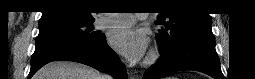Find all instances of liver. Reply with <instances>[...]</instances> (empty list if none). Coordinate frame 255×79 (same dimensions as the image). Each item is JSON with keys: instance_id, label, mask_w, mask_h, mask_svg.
I'll return each mask as SVG.
<instances>
[{"instance_id": "liver-1", "label": "liver", "mask_w": 255, "mask_h": 79, "mask_svg": "<svg viewBox=\"0 0 255 79\" xmlns=\"http://www.w3.org/2000/svg\"><path fill=\"white\" fill-rule=\"evenodd\" d=\"M97 70L72 61H54L43 66L34 79H102Z\"/></svg>"}]
</instances>
